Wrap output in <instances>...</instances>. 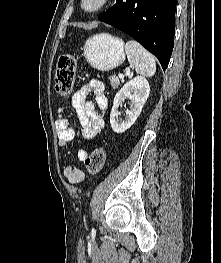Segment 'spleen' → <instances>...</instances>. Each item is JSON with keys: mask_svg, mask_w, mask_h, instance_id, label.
Wrapping results in <instances>:
<instances>
[{"mask_svg": "<svg viewBox=\"0 0 221 263\" xmlns=\"http://www.w3.org/2000/svg\"><path fill=\"white\" fill-rule=\"evenodd\" d=\"M128 62L135 68L136 73L151 77L156 72L154 56L144 49L137 41L130 40L125 45Z\"/></svg>", "mask_w": 221, "mask_h": 263, "instance_id": "spleen-1", "label": "spleen"}]
</instances>
